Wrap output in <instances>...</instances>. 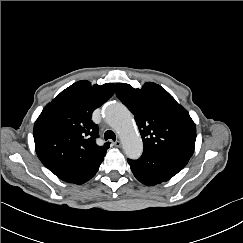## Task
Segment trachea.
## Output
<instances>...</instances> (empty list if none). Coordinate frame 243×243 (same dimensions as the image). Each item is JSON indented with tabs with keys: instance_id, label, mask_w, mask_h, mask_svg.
<instances>
[{
	"instance_id": "obj_1",
	"label": "trachea",
	"mask_w": 243,
	"mask_h": 243,
	"mask_svg": "<svg viewBox=\"0 0 243 243\" xmlns=\"http://www.w3.org/2000/svg\"><path fill=\"white\" fill-rule=\"evenodd\" d=\"M104 138L105 140H108V139H112L113 141L116 140V135L113 131L111 130H107L104 134Z\"/></svg>"
}]
</instances>
